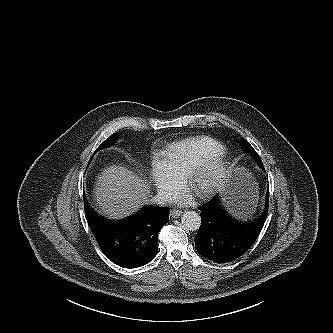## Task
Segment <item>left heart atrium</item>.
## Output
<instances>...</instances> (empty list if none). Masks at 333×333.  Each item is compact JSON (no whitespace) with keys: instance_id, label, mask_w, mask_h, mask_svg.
I'll use <instances>...</instances> for the list:
<instances>
[{"instance_id":"obj_1","label":"left heart atrium","mask_w":333,"mask_h":333,"mask_svg":"<svg viewBox=\"0 0 333 333\" xmlns=\"http://www.w3.org/2000/svg\"><path fill=\"white\" fill-rule=\"evenodd\" d=\"M176 199H177V200H181V201L183 200V201H184V200H186V197H185V196H178V197H176Z\"/></svg>"}]
</instances>
